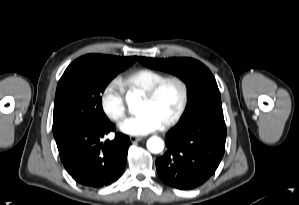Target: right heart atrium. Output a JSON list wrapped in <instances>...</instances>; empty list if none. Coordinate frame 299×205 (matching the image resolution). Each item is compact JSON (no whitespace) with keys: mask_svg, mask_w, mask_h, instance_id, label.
Masks as SVG:
<instances>
[{"mask_svg":"<svg viewBox=\"0 0 299 205\" xmlns=\"http://www.w3.org/2000/svg\"><path fill=\"white\" fill-rule=\"evenodd\" d=\"M100 106L110 120L118 123L124 119L126 107L118 80H111L103 87L100 93Z\"/></svg>","mask_w":299,"mask_h":205,"instance_id":"right-heart-atrium-1","label":"right heart atrium"}]
</instances>
